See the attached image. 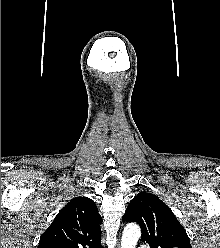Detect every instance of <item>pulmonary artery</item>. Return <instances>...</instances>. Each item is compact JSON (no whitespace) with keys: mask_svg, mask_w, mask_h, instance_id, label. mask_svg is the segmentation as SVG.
Returning <instances> with one entry per match:
<instances>
[{"mask_svg":"<svg viewBox=\"0 0 220 248\" xmlns=\"http://www.w3.org/2000/svg\"><path fill=\"white\" fill-rule=\"evenodd\" d=\"M140 248H149V247H147V246H141Z\"/></svg>","mask_w":220,"mask_h":248,"instance_id":"pulmonary-artery-1","label":"pulmonary artery"}]
</instances>
